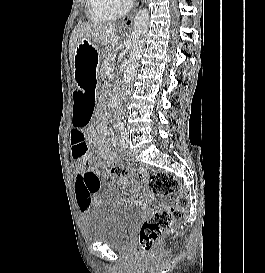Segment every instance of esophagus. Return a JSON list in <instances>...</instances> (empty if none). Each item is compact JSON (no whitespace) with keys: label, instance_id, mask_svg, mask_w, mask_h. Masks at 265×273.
<instances>
[{"label":"esophagus","instance_id":"1","mask_svg":"<svg viewBox=\"0 0 265 273\" xmlns=\"http://www.w3.org/2000/svg\"><path fill=\"white\" fill-rule=\"evenodd\" d=\"M139 3L136 4V7L134 8L133 12L130 13L127 17L123 18V23L127 26H131L133 23L134 13L138 7Z\"/></svg>","mask_w":265,"mask_h":273}]
</instances>
